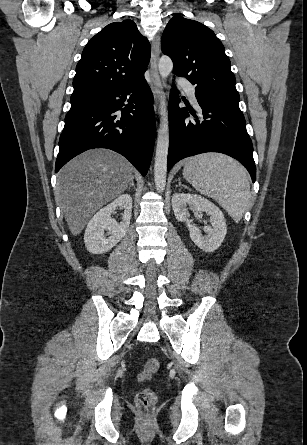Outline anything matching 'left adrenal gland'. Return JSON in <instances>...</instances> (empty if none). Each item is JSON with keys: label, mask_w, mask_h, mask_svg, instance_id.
<instances>
[{"label": "left adrenal gland", "mask_w": 307, "mask_h": 445, "mask_svg": "<svg viewBox=\"0 0 307 445\" xmlns=\"http://www.w3.org/2000/svg\"><path fill=\"white\" fill-rule=\"evenodd\" d=\"M178 180H179V182H178L177 186H185V184H182L180 178H178ZM185 188H188V186H185Z\"/></svg>", "instance_id": "obj_1"}]
</instances>
